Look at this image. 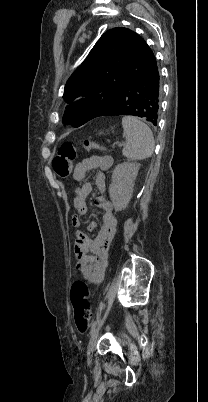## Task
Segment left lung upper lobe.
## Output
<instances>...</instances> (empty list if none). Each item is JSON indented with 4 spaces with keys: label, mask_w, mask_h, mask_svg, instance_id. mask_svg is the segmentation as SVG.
<instances>
[{
    "label": "left lung upper lobe",
    "mask_w": 208,
    "mask_h": 402,
    "mask_svg": "<svg viewBox=\"0 0 208 402\" xmlns=\"http://www.w3.org/2000/svg\"><path fill=\"white\" fill-rule=\"evenodd\" d=\"M133 31L116 27L104 33L68 79L63 98L72 103L66 122L79 127L98 117L117 97L139 64L140 44Z\"/></svg>",
    "instance_id": "5c2ea615"
}]
</instances>
